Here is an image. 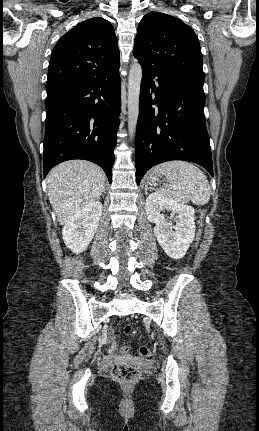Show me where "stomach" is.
Here are the masks:
<instances>
[{
    "label": "stomach",
    "instance_id": "stomach-1",
    "mask_svg": "<svg viewBox=\"0 0 259 431\" xmlns=\"http://www.w3.org/2000/svg\"><path fill=\"white\" fill-rule=\"evenodd\" d=\"M164 174H159V173H154L153 171L150 172L147 176V181L149 182H157L160 180V178L163 176Z\"/></svg>",
    "mask_w": 259,
    "mask_h": 431
}]
</instances>
